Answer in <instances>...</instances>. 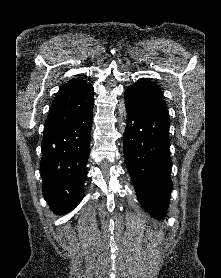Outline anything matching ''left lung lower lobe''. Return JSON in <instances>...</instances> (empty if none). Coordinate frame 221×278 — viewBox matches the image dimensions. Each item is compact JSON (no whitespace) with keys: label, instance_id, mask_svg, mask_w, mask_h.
I'll return each mask as SVG.
<instances>
[{"label":"left lung lower lobe","instance_id":"1","mask_svg":"<svg viewBox=\"0 0 221 278\" xmlns=\"http://www.w3.org/2000/svg\"><path fill=\"white\" fill-rule=\"evenodd\" d=\"M124 156L140 204L155 218L164 219L172 181L168 111L143 112L126 105Z\"/></svg>","mask_w":221,"mask_h":278}]
</instances>
